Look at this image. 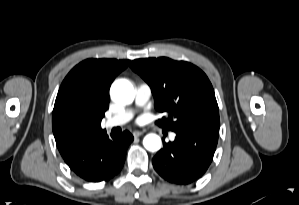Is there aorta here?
<instances>
[{
  "instance_id": "aorta-1",
  "label": "aorta",
  "mask_w": 299,
  "mask_h": 205,
  "mask_svg": "<svg viewBox=\"0 0 299 205\" xmlns=\"http://www.w3.org/2000/svg\"><path fill=\"white\" fill-rule=\"evenodd\" d=\"M111 98L120 104H130L133 102L135 92L133 85L126 79L115 81L110 89ZM144 147L150 152L158 151L162 146L161 138L156 134H148L143 139Z\"/></svg>"
}]
</instances>
